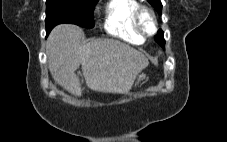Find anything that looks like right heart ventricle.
Returning <instances> with one entry per match:
<instances>
[{
    "label": "right heart ventricle",
    "mask_w": 227,
    "mask_h": 142,
    "mask_svg": "<svg viewBox=\"0 0 227 142\" xmlns=\"http://www.w3.org/2000/svg\"><path fill=\"white\" fill-rule=\"evenodd\" d=\"M140 7L138 0H108L103 8V28L111 36L132 44L144 42L135 27L134 15Z\"/></svg>",
    "instance_id": "e07e8e85"
}]
</instances>
